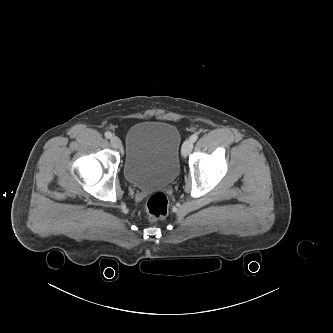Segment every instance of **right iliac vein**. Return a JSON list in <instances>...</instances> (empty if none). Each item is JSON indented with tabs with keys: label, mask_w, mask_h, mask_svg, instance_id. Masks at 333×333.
Returning a JSON list of instances; mask_svg holds the SVG:
<instances>
[{
	"label": "right iliac vein",
	"mask_w": 333,
	"mask_h": 333,
	"mask_svg": "<svg viewBox=\"0 0 333 333\" xmlns=\"http://www.w3.org/2000/svg\"><path fill=\"white\" fill-rule=\"evenodd\" d=\"M110 144L115 149H120L122 146L121 140L117 136H113L111 138Z\"/></svg>",
	"instance_id": "63e3f726"
}]
</instances>
